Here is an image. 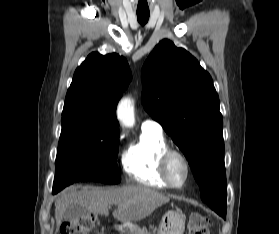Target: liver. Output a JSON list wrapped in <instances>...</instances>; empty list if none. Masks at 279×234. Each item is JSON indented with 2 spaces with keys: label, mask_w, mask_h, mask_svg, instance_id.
Segmentation results:
<instances>
[{
  "label": "liver",
  "mask_w": 279,
  "mask_h": 234,
  "mask_svg": "<svg viewBox=\"0 0 279 234\" xmlns=\"http://www.w3.org/2000/svg\"><path fill=\"white\" fill-rule=\"evenodd\" d=\"M169 197L145 186H124L103 189L88 187L81 191L68 189L55 201L57 229L63 222L67 208L81 205L90 213L109 215L108 206L115 205L113 217L123 223L139 221L149 216L156 208L169 202Z\"/></svg>",
  "instance_id": "6515ba94"
}]
</instances>
